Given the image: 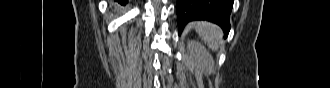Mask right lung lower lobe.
<instances>
[{"mask_svg":"<svg viewBox=\"0 0 330 88\" xmlns=\"http://www.w3.org/2000/svg\"><path fill=\"white\" fill-rule=\"evenodd\" d=\"M116 2L120 3L121 5H126L128 0H115Z\"/></svg>","mask_w":330,"mask_h":88,"instance_id":"right-lung-lower-lobe-1","label":"right lung lower lobe"}]
</instances>
